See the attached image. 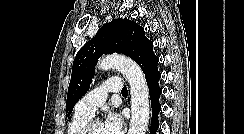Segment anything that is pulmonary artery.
I'll return each mask as SVG.
<instances>
[{"label":"pulmonary artery","instance_id":"1","mask_svg":"<svg viewBox=\"0 0 244 134\" xmlns=\"http://www.w3.org/2000/svg\"><path fill=\"white\" fill-rule=\"evenodd\" d=\"M122 90V82L118 78H110L101 86L88 92L75 107V112L92 117L98 107L106 100L108 93H118Z\"/></svg>","mask_w":244,"mask_h":134}]
</instances>
